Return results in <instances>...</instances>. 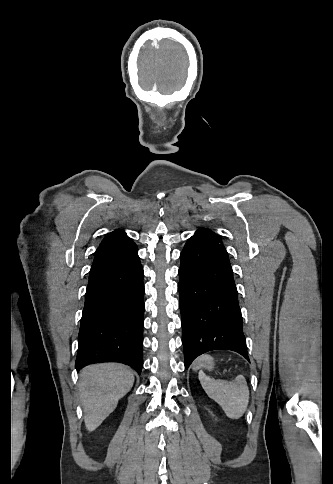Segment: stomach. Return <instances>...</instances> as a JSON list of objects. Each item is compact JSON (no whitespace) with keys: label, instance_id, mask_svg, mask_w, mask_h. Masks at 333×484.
Here are the masks:
<instances>
[{"label":"stomach","instance_id":"stomach-1","mask_svg":"<svg viewBox=\"0 0 333 484\" xmlns=\"http://www.w3.org/2000/svg\"><path fill=\"white\" fill-rule=\"evenodd\" d=\"M205 368L207 370H212L214 368L213 359L208 355L201 356L194 363V369Z\"/></svg>","mask_w":333,"mask_h":484}]
</instances>
